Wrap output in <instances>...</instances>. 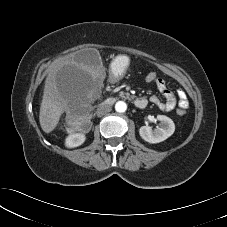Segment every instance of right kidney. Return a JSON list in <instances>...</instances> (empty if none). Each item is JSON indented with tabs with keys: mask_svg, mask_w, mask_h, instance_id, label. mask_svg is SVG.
<instances>
[{
	"mask_svg": "<svg viewBox=\"0 0 227 227\" xmlns=\"http://www.w3.org/2000/svg\"><path fill=\"white\" fill-rule=\"evenodd\" d=\"M86 140V136L83 133H74L67 136L65 145L68 148H74L82 145Z\"/></svg>",
	"mask_w": 227,
	"mask_h": 227,
	"instance_id": "ca27d5eb",
	"label": "right kidney"
}]
</instances>
